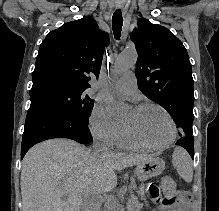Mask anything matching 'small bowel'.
I'll return each instance as SVG.
<instances>
[{
	"label": "small bowel",
	"mask_w": 219,
	"mask_h": 211,
	"mask_svg": "<svg viewBox=\"0 0 219 211\" xmlns=\"http://www.w3.org/2000/svg\"><path fill=\"white\" fill-rule=\"evenodd\" d=\"M180 200L176 203L167 198H162L158 191H152L150 198L153 203L159 204V211H191L192 197L190 194H180Z\"/></svg>",
	"instance_id": "c3829d8e"
}]
</instances>
